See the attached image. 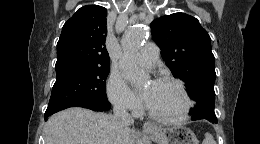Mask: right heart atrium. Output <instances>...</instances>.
<instances>
[{
    "label": "right heart atrium",
    "instance_id": "right-heart-atrium-1",
    "mask_svg": "<svg viewBox=\"0 0 260 144\" xmlns=\"http://www.w3.org/2000/svg\"><path fill=\"white\" fill-rule=\"evenodd\" d=\"M106 91L110 102L118 109L131 112L139 110L140 101L122 75L112 73Z\"/></svg>",
    "mask_w": 260,
    "mask_h": 144
}]
</instances>
